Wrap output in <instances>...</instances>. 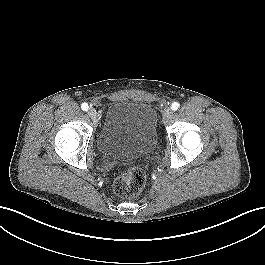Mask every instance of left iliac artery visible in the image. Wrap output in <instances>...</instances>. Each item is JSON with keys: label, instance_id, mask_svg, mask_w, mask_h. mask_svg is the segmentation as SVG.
<instances>
[{"label": "left iliac artery", "instance_id": "1", "mask_svg": "<svg viewBox=\"0 0 265 265\" xmlns=\"http://www.w3.org/2000/svg\"><path fill=\"white\" fill-rule=\"evenodd\" d=\"M178 108H179V103H177V102L172 103V105H171L172 110L176 111Z\"/></svg>", "mask_w": 265, "mask_h": 265}]
</instances>
